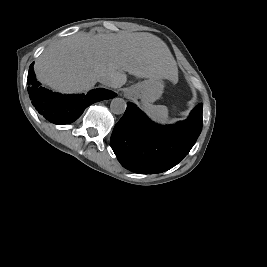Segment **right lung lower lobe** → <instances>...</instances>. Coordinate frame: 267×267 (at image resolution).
<instances>
[{
  "mask_svg": "<svg viewBox=\"0 0 267 267\" xmlns=\"http://www.w3.org/2000/svg\"><path fill=\"white\" fill-rule=\"evenodd\" d=\"M28 93L39 114L54 124H69L77 120L83 111L101 100L111 99L117 94L106 89H94L84 94L65 95L45 89L37 81L32 65L28 73Z\"/></svg>",
  "mask_w": 267,
  "mask_h": 267,
  "instance_id": "98d812e1",
  "label": "right lung lower lobe"
}]
</instances>
